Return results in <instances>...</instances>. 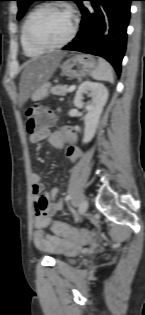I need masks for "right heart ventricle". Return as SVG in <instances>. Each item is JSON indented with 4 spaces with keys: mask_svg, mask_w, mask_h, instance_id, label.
I'll return each instance as SVG.
<instances>
[{
    "mask_svg": "<svg viewBox=\"0 0 145 315\" xmlns=\"http://www.w3.org/2000/svg\"><path fill=\"white\" fill-rule=\"evenodd\" d=\"M35 10H36V9H32V10H30V11L26 14V16H25V18H24V20H23V22H22V24H21V27H20V43H21V46H22V49H23L24 54H25L26 56H28V57H37V56H40L41 54L44 53L43 50H40V49H37V48L31 46V45L28 43V41H27V39H26V36H25V26H26V22H27L28 18L30 17V15H31Z\"/></svg>",
    "mask_w": 145,
    "mask_h": 315,
    "instance_id": "obj_1",
    "label": "right heart ventricle"
}]
</instances>
